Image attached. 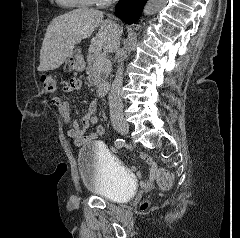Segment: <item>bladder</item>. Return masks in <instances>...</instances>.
<instances>
[{"label":"bladder","mask_w":240,"mask_h":238,"mask_svg":"<svg viewBox=\"0 0 240 238\" xmlns=\"http://www.w3.org/2000/svg\"><path fill=\"white\" fill-rule=\"evenodd\" d=\"M77 164L82 185L93 194L116 203L133 197L134 178L105 146L86 143L79 150Z\"/></svg>","instance_id":"1"}]
</instances>
